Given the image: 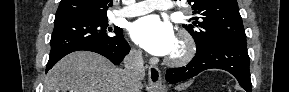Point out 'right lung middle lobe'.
<instances>
[{
	"mask_svg": "<svg viewBox=\"0 0 289 92\" xmlns=\"http://www.w3.org/2000/svg\"><path fill=\"white\" fill-rule=\"evenodd\" d=\"M112 33L115 35L113 36ZM120 38H122V30L108 27L107 18L81 17L57 21L54 22L50 41V55L85 43L110 44Z\"/></svg>",
	"mask_w": 289,
	"mask_h": 92,
	"instance_id": "dd1d6c3e",
	"label": "right lung middle lobe"
}]
</instances>
